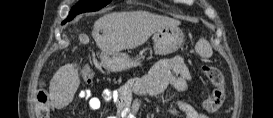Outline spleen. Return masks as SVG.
<instances>
[{"label":"spleen","instance_id":"obj_1","mask_svg":"<svg viewBox=\"0 0 273 118\" xmlns=\"http://www.w3.org/2000/svg\"><path fill=\"white\" fill-rule=\"evenodd\" d=\"M195 50L203 58H210L213 54L210 43L204 38L199 39L196 43Z\"/></svg>","mask_w":273,"mask_h":118}]
</instances>
